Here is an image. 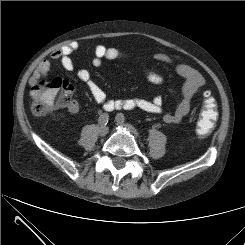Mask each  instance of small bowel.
Returning a JSON list of instances; mask_svg holds the SVG:
<instances>
[{
	"mask_svg": "<svg viewBox=\"0 0 245 245\" xmlns=\"http://www.w3.org/2000/svg\"><path fill=\"white\" fill-rule=\"evenodd\" d=\"M78 44L70 42L60 49H57L51 53L53 60L60 61L63 69L67 72H73L75 70L74 62L71 55L78 49ZM124 56V52L115 47H107L103 44H98L95 47V55L92 60L94 66L101 65L103 59L117 60ZM155 59L170 67L176 74L184 79L181 87V102L172 112H165L163 107V101L160 97L154 98H127V99H108L105 91L92 79L90 72L87 69H79L76 75L80 81L85 83L92 98L99 104L103 105L106 111H113L117 109H140L152 114H161L163 120L169 124L179 123L191 110L193 100L195 96L201 92L205 85L204 78L194 68L178 62L166 54L158 53L155 55ZM51 68V62L49 60H43L35 72L33 73L30 82L35 84L39 79L45 77ZM147 80L154 84L160 85L163 82V76L154 70L145 67L143 69ZM69 110L73 113L78 112L79 107L76 102H72Z\"/></svg>",
	"mask_w": 245,
	"mask_h": 245,
	"instance_id": "small-bowel-1",
	"label": "small bowel"
}]
</instances>
